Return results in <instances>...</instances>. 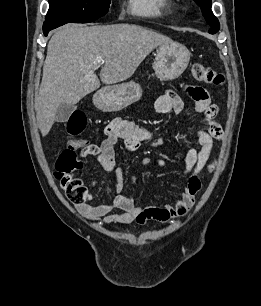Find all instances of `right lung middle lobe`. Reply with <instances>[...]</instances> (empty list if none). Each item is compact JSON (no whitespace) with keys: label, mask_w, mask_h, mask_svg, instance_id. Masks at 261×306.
<instances>
[{"label":"right lung middle lobe","mask_w":261,"mask_h":306,"mask_svg":"<svg viewBox=\"0 0 261 306\" xmlns=\"http://www.w3.org/2000/svg\"><path fill=\"white\" fill-rule=\"evenodd\" d=\"M111 0H49L46 22L88 23L105 15Z\"/></svg>","instance_id":"1"}]
</instances>
